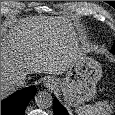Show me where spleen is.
Wrapping results in <instances>:
<instances>
[{"label":"spleen","mask_w":115,"mask_h":115,"mask_svg":"<svg viewBox=\"0 0 115 115\" xmlns=\"http://www.w3.org/2000/svg\"><path fill=\"white\" fill-rule=\"evenodd\" d=\"M113 106L107 101H99L95 104L84 105L77 108L75 111L77 115H110Z\"/></svg>","instance_id":"spleen-1"}]
</instances>
